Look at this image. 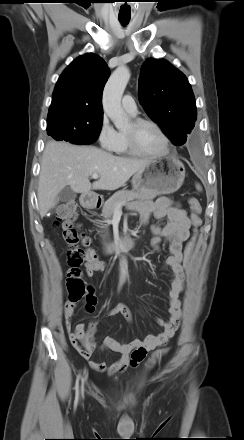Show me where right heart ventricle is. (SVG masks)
<instances>
[{"label": "right heart ventricle", "mask_w": 244, "mask_h": 440, "mask_svg": "<svg viewBox=\"0 0 244 440\" xmlns=\"http://www.w3.org/2000/svg\"><path fill=\"white\" fill-rule=\"evenodd\" d=\"M111 151L118 155H134L127 143L124 131L117 132V140Z\"/></svg>", "instance_id": "right-heart-ventricle-1"}]
</instances>
